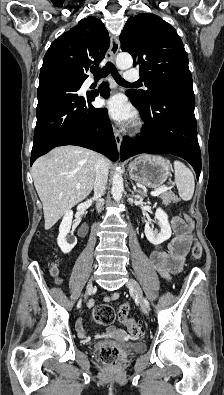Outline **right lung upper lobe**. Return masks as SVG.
<instances>
[{
  "mask_svg": "<svg viewBox=\"0 0 224 395\" xmlns=\"http://www.w3.org/2000/svg\"><path fill=\"white\" fill-rule=\"evenodd\" d=\"M104 24L89 16L58 37L47 50L41 72L59 70L86 79L89 66L102 61L109 48Z\"/></svg>",
  "mask_w": 224,
  "mask_h": 395,
  "instance_id": "right-lung-upper-lobe-1",
  "label": "right lung upper lobe"
}]
</instances>
